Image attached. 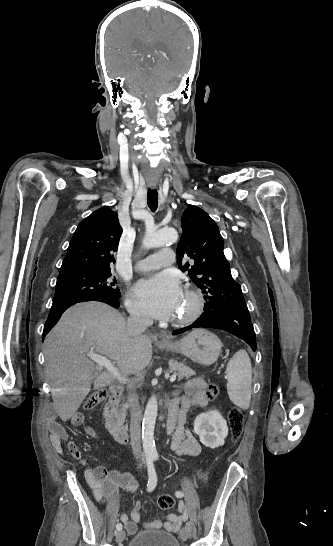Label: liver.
<instances>
[{"instance_id":"6515ba94","label":"liver","mask_w":333,"mask_h":546,"mask_svg":"<svg viewBox=\"0 0 333 546\" xmlns=\"http://www.w3.org/2000/svg\"><path fill=\"white\" fill-rule=\"evenodd\" d=\"M89 353L109 358L125 377L150 363L152 338L130 333L125 319L106 304L78 303L67 309L44 342L45 370L55 410L63 421L76 414L92 382L94 388H101L116 379L110 372L97 376Z\"/></svg>"}]
</instances>
